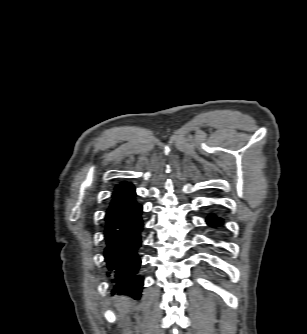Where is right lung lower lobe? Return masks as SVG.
<instances>
[{
  "label": "right lung lower lobe",
  "mask_w": 307,
  "mask_h": 334,
  "mask_svg": "<svg viewBox=\"0 0 307 334\" xmlns=\"http://www.w3.org/2000/svg\"><path fill=\"white\" fill-rule=\"evenodd\" d=\"M132 184L124 182L115 187L105 215L104 257L107 275L113 290L139 299L143 277L139 275L141 233L144 229L142 205L135 200Z\"/></svg>",
  "instance_id": "1"
}]
</instances>
